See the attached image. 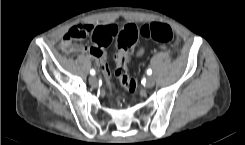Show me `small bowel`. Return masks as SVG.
Wrapping results in <instances>:
<instances>
[{
    "label": "small bowel",
    "instance_id": "small-bowel-1",
    "mask_svg": "<svg viewBox=\"0 0 245 145\" xmlns=\"http://www.w3.org/2000/svg\"><path fill=\"white\" fill-rule=\"evenodd\" d=\"M96 31V37L92 40V45L90 47H85L80 44H73L71 42L62 41L60 48L63 52L69 54H77L76 48L80 49L81 47L85 49L86 52L90 54L92 58L97 61V64H105V47L111 40V34L108 32V27L117 26L113 23L108 24H88ZM144 47H140L136 51L137 56H141L144 53Z\"/></svg>",
    "mask_w": 245,
    "mask_h": 145
}]
</instances>
